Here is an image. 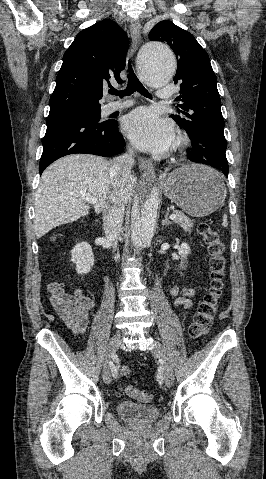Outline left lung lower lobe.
I'll list each match as a JSON object with an SVG mask.
<instances>
[{"label":"left lung lower lobe","instance_id":"obj_1","mask_svg":"<svg viewBox=\"0 0 266 479\" xmlns=\"http://www.w3.org/2000/svg\"><path fill=\"white\" fill-rule=\"evenodd\" d=\"M215 168L221 170L223 172V174L228 177V172H229V168L228 166H221V165H216Z\"/></svg>","mask_w":266,"mask_h":479}]
</instances>
